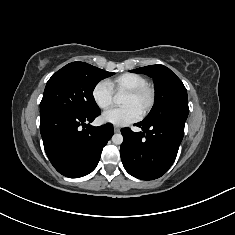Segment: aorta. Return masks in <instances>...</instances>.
Returning a JSON list of instances; mask_svg holds the SVG:
<instances>
[{"label":"aorta","mask_w":235,"mask_h":235,"mask_svg":"<svg viewBox=\"0 0 235 235\" xmlns=\"http://www.w3.org/2000/svg\"><path fill=\"white\" fill-rule=\"evenodd\" d=\"M115 102L117 104H120L122 102V96L120 94H117L115 96ZM112 142L116 145H120L123 142V136L120 133L114 134L112 136Z\"/></svg>","instance_id":"1"}]
</instances>
